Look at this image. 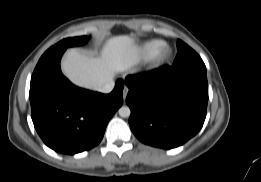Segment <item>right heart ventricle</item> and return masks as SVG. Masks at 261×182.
<instances>
[{"mask_svg": "<svg viewBox=\"0 0 261 182\" xmlns=\"http://www.w3.org/2000/svg\"><path fill=\"white\" fill-rule=\"evenodd\" d=\"M165 47V42L157 39L148 40L142 43L138 49L137 54L143 60H151Z\"/></svg>", "mask_w": 261, "mask_h": 182, "instance_id": "obj_1", "label": "right heart ventricle"}]
</instances>
